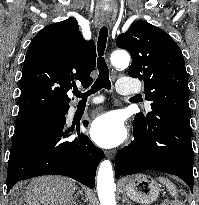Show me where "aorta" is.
Here are the masks:
<instances>
[{
	"label": "aorta",
	"mask_w": 199,
	"mask_h": 205,
	"mask_svg": "<svg viewBox=\"0 0 199 205\" xmlns=\"http://www.w3.org/2000/svg\"><path fill=\"white\" fill-rule=\"evenodd\" d=\"M130 56L124 50H117L111 55V63L117 68H126L129 66ZM97 189L101 205H116L112 164L109 160L101 162L97 175Z\"/></svg>",
	"instance_id": "762f6f07"
}]
</instances>
